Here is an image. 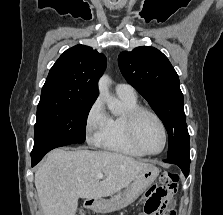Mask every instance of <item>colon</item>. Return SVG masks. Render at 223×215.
I'll use <instances>...</instances> for the list:
<instances>
[{
  "mask_svg": "<svg viewBox=\"0 0 223 215\" xmlns=\"http://www.w3.org/2000/svg\"><path fill=\"white\" fill-rule=\"evenodd\" d=\"M161 180L170 189L176 190L177 184L179 182V176L172 172H165L162 174ZM150 210L156 213V215H163L164 208L163 206L152 205ZM76 215H87V213L83 210H79L77 211Z\"/></svg>",
  "mask_w": 223,
  "mask_h": 215,
  "instance_id": "5ec220e1",
  "label": "colon"
}]
</instances>
